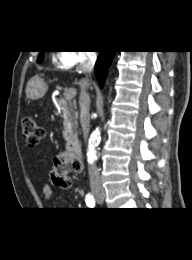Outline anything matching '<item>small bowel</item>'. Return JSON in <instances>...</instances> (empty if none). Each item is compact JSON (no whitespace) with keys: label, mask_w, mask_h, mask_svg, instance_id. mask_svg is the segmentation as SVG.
I'll return each mask as SVG.
<instances>
[{"label":"small bowel","mask_w":192,"mask_h":260,"mask_svg":"<svg viewBox=\"0 0 192 260\" xmlns=\"http://www.w3.org/2000/svg\"><path fill=\"white\" fill-rule=\"evenodd\" d=\"M42 191H43L45 201L47 203L50 202L53 197V192H54L53 187L50 184L46 183L44 184Z\"/></svg>","instance_id":"1"}]
</instances>
